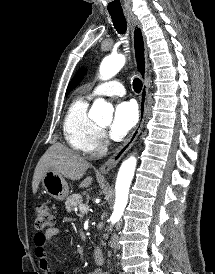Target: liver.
<instances>
[{"mask_svg":"<svg viewBox=\"0 0 215 274\" xmlns=\"http://www.w3.org/2000/svg\"><path fill=\"white\" fill-rule=\"evenodd\" d=\"M90 164L76 152L66 146L56 143L53 144L40 158L34 172L32 181V191L36 194L39 183L49 169L70 180H79L83 177ZM92 178L84 179L80 187H88Z\"/></svg>","mask_w":215,"mask_h":274,"instance_id":"obj_1","label":"liver"}]
</instances>
